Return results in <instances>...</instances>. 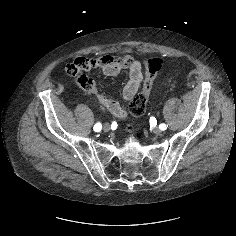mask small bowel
Wrapping results in <instances>:
<instances>
[{
    "instance_id": "obj_1",
    "label": "small bowel",
    "mask_w": 236,
    "mask_h": 236,
    "mask_svg": "<svg viewBox=\"0 0 236 236\" xmlns=\"http://www.w3.org/2000/svg\"><path fill=\"white\" fill-rule=\"evenodd\" d=\"M69 67V75L75 83L87 94H95L98 101L116 117H125L130 110L128 100L132 99L141 87L143 72L141 63L128 54L122 56L102 55L98 58L78 57ZM95 69H100L106 76H116L123 70H128L129 80L123 89V97L117 101L109 100L99 93L98 83L93 79Z\"/></svg>"
}]
</instances>
